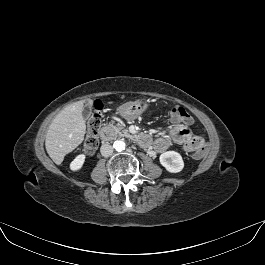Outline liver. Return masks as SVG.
<instances>
[{"instance_id":"1","label":"liver","mask_w":265,"mask_h":265,"mask_svg":"<svg viewBox=\"0 0 265 265\" xmlns=\"http://www.w3.org/2000/svg\"><path fill=\"white\" fill-rule=\"evenodd\" d=\"M85 101H77L65 107L51 122L45 139L50 158L60 165L64 157L78 147L86 132L82 110ZM89 104L93 100H88Z\"/></svg>"}]
</instances>
